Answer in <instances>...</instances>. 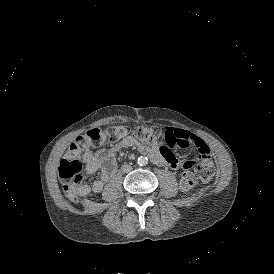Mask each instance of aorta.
I'll use <instances>...</instances> for the list:
<instances>
[{
  "mask_svg": "<svg viewBox=\"0 0 274 274\" xmlns=\"http://www.w3.org/2000/svg\"><path fill=\"white\" fill-rule=\"evenodd\" d=\"M137 163H138V165H140V166H145V165H147V163H148V159H147L146 157H144V156H141V157H139V158L137 159Z\"/></svg>",
  "mask_w": 274,
  "mask_h": 274,
  "instance_id": "obj_1",
  "label": "aorta"
}]
</instances>
